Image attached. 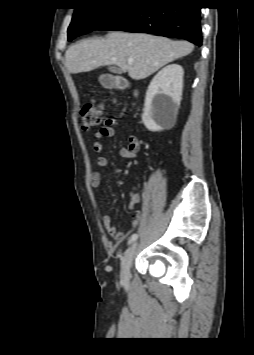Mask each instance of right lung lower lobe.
<instances>
[{"label":"right lung lower lobe","instance_id":"98d812e1","mask_svg":"<svg viewBox=\"0 0 254 355\" xmlns=\"http://www.w3.org/2000/svg\"><path fill=\"white\" fill-rule=\"evenodd\" d=\"M200 23V7L195 0H132L98 30L153 33L201 45Z\"/></svg>","mask_w":254,"mask_h":355}]
</instances>
